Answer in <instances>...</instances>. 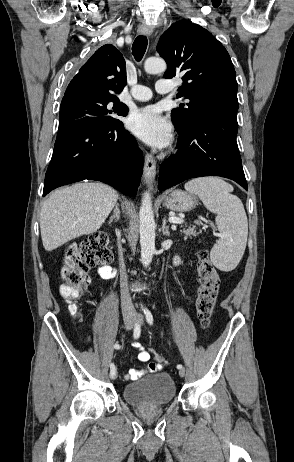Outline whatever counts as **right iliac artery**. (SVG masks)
<instances>
[{"label": "right iliac artery", "instance_id": "right-iliac-artery-1", "mask_svg": "<svg viewBox=\"0 0 294 462\" xmlns=\"http://www.w3.org/2000/svg\"><path fill=\"white\" fill-rule=\"evenodd\" d=\"M140 325L138 323L135 324V327H134V338H138L140 336ZM114 348L115 349H120V345L119 344H115L114 345ZM116 373V369H115V366L113 363H111L110 365V374L113 376L114 374Z\"/></svg>", "mask_w": 294, "mask_h": 462}]
</instances>
